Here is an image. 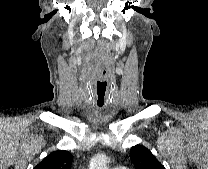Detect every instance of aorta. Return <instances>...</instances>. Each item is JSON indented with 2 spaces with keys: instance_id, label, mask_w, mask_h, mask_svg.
<instances>
[{
  "instance_id": "762f6f07",
  "label": "aorta",
  "mask_w": 208,
  "mask_h": 169,
  "mask_svg": "<svg viewBox=\"0 0 208 169\" xmlns=\"http://www.w3.org/2000/svg\"><path fill=\"white\" fill-rule=\"evenodd\" d=\"M107 157L104 154H97L90 162L89 169H108Z\"/></svg>"
}]
</instances>
